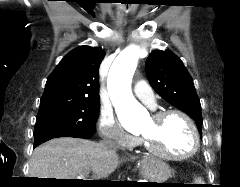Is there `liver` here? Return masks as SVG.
<instances>
[{
  "mask_svg": "<svg viewBox=\"0 0 240 187\" xmlns=\"http://www.w3.org/2000/svg\"><path fill=\"white\" fill-rule=\"evenodd\" d=\"M120 161L115 149L104 143L62 137L37 147L30 160V178L75 179L92 171L97 178H106Z\"/></svg>",
  "mask_w": 240,
  "mask_h": 187,
  "instance_id": "1",
  "label": "liver"
}]
</instances>
